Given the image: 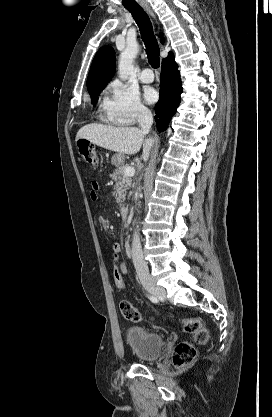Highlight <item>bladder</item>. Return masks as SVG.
<instances>
[{
    "mask_svg": "<svg viewBox=\"0 0 272 417\" xmlns=\"http://www.w3.org/2000/svg\"><path fill=\"white\" fill-rule=\"evenodd\" d=\"M126 341L136 357L143 361L158 359L164 346L161 335L140 327H130L126 332Z\"/></svg>",
    "mask_w": 272,
    "mask_h": 417,
    "instance_id": "1",
    "label": "bladder"
}]
</instances>
